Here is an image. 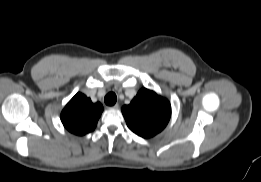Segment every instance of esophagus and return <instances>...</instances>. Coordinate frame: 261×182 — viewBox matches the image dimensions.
Returning <instances> with one entry per match:
<instances>
[{"instance_id": "obj_1", "label": "esophagus", "mask_w": 261, "mask_h": 182, "mask_svg": "<svg viewBox=\"0 0 261 182\" xmlns=\"http://www.w3.org/2000/svg\"><path fill=\"white\" fill-rule=\"evenodd\" d=\"M110 109H118L119 108V104H115V105H113V106H111V107H109Z\"/></svg>"}]
</instances>
